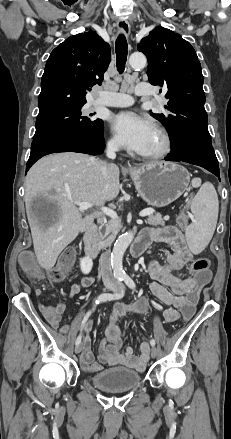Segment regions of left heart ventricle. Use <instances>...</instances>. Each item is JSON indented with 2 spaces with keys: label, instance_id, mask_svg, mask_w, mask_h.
Masks as SVG:
<instances>
[{
  "label": "left heart ventricle",
  "instance_id": "b2bd125f",
  "mask_svg": "<svg viewBox=\"0 0 231 439\" xmlns=\"http://www.w3.org/2000/svg\"><path fill=\"white\" fill-rule=\"evenodd\" d=\"M161 146V138L158 132L155 130L148 144L146 145L142 153H150L158 150Z\"/></svg>",
  "mask_w": 231,
  "mask_h": 439
}]
</instances>
